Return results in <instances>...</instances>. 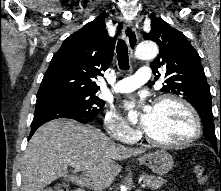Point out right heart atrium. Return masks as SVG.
<instances>
[{
  "label": "right heart atrium",
  "instance_id": "right-heart-atrium-1",
  "mask_svg": "<svg viewBox=\"0 0 221 191\" xmlns=\"http://www.w3.org/2000/svg\"><path fill=\"white\" fill-rule=\"evenodd\" d=\"M104 126L107 133L118 141L133 143L138 138V132L128 127L112 109L104 115Z\"/></svg>",
  "mask_w": 221,
  "mask_h": 191
}]
</instances>
